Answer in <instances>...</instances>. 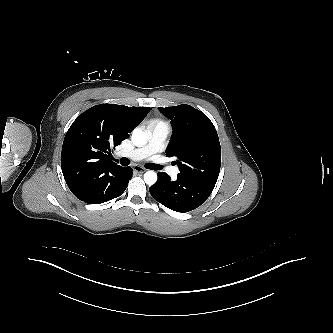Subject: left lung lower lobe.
Returning <instances> with one entry per match:
<instances>
[{
    "instance_id": "obj_1",
    "label": "left lung lower lobe",
    "mask_w": 333,
    "mask_h": 333,
    "mask_svg": "<svg viewBox=\"0 0 333 333\" xmlns=\"http://www.w3.org/2000/svg\"><path fill=\"white\" fill-rule=\"evenodd\" d=\"M215 184L177 176L171 180L165 172L158 173L157 182L149 188L152 197L165 207L177 212H189L203 204Z\"/></svg>"
}]
</instances>
